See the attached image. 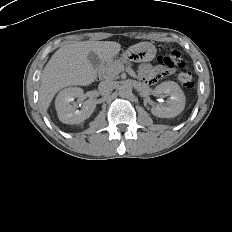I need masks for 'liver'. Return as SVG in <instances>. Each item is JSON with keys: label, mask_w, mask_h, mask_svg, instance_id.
Listing matches in <instances>:
<instances>
[{"label": "liver", "mask_w": 232, "mask_h": 232, "mask_svg": "<svg viewBox=\"0 0 232 232\" xmlns=\"http://www.w3.org/2000/svg\"><path fill=\"white\" fill-rule=\"evenodd\" d=\"M140 42L128 48L133 51L145 44ZM121 50L114 41H82L66 44L59 48L46 64L39 88V101L43 113L47 112L55 94L72 85H90L95 77L94 67L88 60V53L95 52L101 61H108Z\"/></svg>", "instance_id": "obj_1"}]
</instances>
